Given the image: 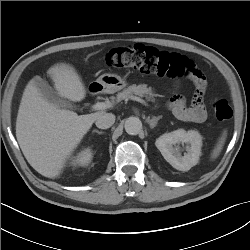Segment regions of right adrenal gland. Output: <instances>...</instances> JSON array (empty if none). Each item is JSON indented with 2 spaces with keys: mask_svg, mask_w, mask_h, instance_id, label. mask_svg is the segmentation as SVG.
<instances>
[{
  "mask_svg": "<svg viewBox=\"0 0 250 250\" xmlns=\"http://www.w3.org/2000/svg\"><path fill=\"white\" fill-rule=\"evenodd\" d=\"M93 132H96V133H98V134H103V133H104V132L98 131V130H93Z\"/></svg>",
  "mask_w": 250,
  "mask_h": 250,
  "instance_id": "1",
  "label": "right adrenal gland"
}]
</instances>
